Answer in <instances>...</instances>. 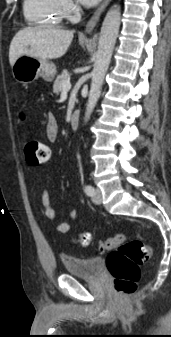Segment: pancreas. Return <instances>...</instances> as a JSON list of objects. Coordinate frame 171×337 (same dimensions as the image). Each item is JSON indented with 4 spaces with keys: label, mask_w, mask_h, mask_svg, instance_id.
Masks as SVG:
<instances>
[{
    "label": "pancreas",
    "mask_w": 171,
    "mask_h": 337,
    "mask_svg": "<svg viewBox=\"0 0 171 337\" xmlns=\"http://www.w3.org/2000/svg\"><path fill=\"white\" fill-rule=\"evenodd\" d=\"M69 79V72L67 70H63L62 74L59 75L53 84V92L55 94H59L62 90V83Z\"/></svg>",
    "instance_id": "1"
}]
</instances>
